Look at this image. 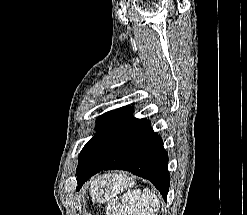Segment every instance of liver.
Segmentation results:
<instances>
[{"mask_svg": "<svg viewBox=\"0 0 247 215\" xmlns=\"http://www.w3.org/2000/svg\"><path fill=\"white\" fill-rule=\"evenodd\" d=\"M109 175H107V177H108ZM124 175L123 174H120V175H117V178H121V177H123ZM109 199V198H108ZM107 200V199H106Z\"/></svg>", "mask_w": 247, "mask_h": 215, "instance_id": "6515ba94", "label": "liver"}]
</instances>
